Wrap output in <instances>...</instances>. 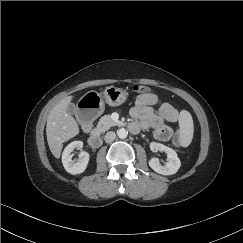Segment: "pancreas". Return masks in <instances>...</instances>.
I'll return each mask as SVG.
<instances>
[{
  "mask_svg": "<svg viewBox=\"0 0 243 243\" xmlns=\"http://www.w3.org/2000/svg\"><path fill=\"white\" fill-rule=\"evenodd\" d=\"M115 125H117V122L113 121V120L111 119L110 115H105V116H103V117L99 120V122H98V124H97L95 130H96L97 132L102 133V132L107 131L108 129H110L112 126H115Z\"/></svg>",
  "mask_w": 243,
  "mask_h": 243,
  "instance_id": "1",
  "label": "pancreas"
}]
</instances>
